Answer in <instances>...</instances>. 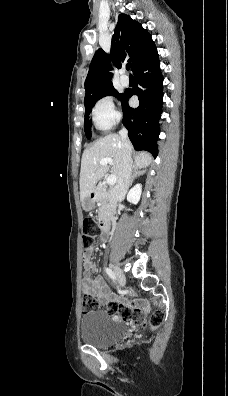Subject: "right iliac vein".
<instances>
[{
    "instance_id": "63e3f726",
    "label": "right iliac vein",
    "mask_w": 228,
    "mask_h": 396,
    "mask_svg": "<svg viewBox=\"0 0 228 396\" xmlns=\"http://www.w3.org/2000/svg\"><path fill=\"white\" fill-rule=\"evenodd\" d=\"M114 272L119 280L120 283H125V275L123 273V271L118 267V266H114Z\"/></svg>"
}]
</instances>
